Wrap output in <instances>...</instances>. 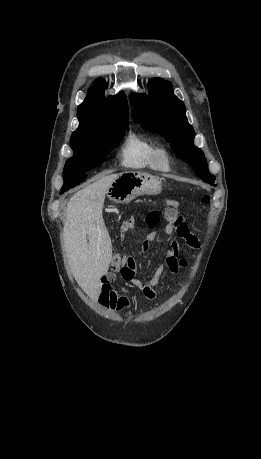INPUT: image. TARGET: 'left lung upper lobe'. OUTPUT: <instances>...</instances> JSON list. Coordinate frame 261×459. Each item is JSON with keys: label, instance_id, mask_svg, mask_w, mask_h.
I'll return each mask as SVG.
<instances>
[{"label": "left lung upper lobe", "instance_id": "obj_1", "mask_svg": "<svg viewBox=\"0 0 261 459\" xmlns=\"http://www.w3.org/2000/svg\"><path fill=\"white\" fill-rule=\"evenodd\" d=\"M132 118L142 127L166 138L173 151L185 160L203 181L214 185L215 176L208 171L204 153L194 146L195 132L188 123L184 103L172 91V84L152 79L149 94H131Z\"/></svg>", "mask_w": 261, "mask_h": 459}]
</instances>
